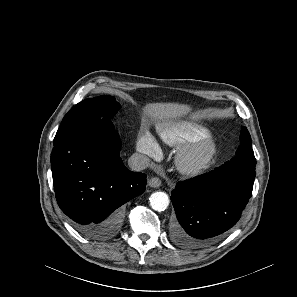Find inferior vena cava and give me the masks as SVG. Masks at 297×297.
I'll return each mask as SVG.
<instances>
[{
  "label": "inferior vena cava",
  "mask_w": 297,
  "mask_h": 297,
  "mask_svg": "<svg viewBox=\"0 0 297 297\" xmlns=\"http://www.w3.org/2000/svg\"><path fill=\"white\" fill-rule=\"evenodd\" d=\"M150 160L146 155L140 153L132 154L128 159V166L133 171H141L149 166Z\"/></svg>",
  "instance_id": "602c4592"
}]
</instances>
